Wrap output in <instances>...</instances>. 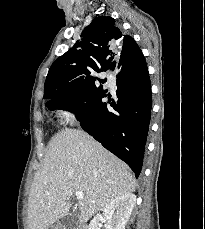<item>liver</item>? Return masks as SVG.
<instances>
[{"label":"liver","mask_w":205,"mask_h":229,"mask_svg":"<svg viewBox=\"0 0 205 229\" xmlns=\"http://www.w3.org/2000/svg\"><path fill=\"white\" fill-rule=\"evenodd\" d=\"M129 166L79 129H65L50 140L43 164L34 176L28 198L30 229H48L71 207V196L81 191L80 220L115 198L135 191Z\"/></svg>","instance_id":"obj_1"}]
</instances>
